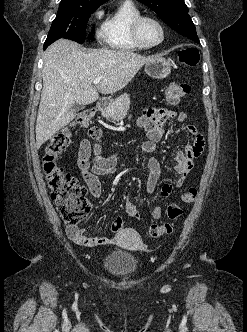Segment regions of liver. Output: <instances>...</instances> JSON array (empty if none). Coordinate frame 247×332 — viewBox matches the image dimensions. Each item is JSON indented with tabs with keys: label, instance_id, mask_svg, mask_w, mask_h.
<instances>
[{
	"label": "liver",
	"instance_id": "1",
	"mask_svg": "<svg viewBox=\"0 0 247 332\" xmlns=\"http://www.w3.org/2000/svg\"><path fill=\"white\" fill-rule=\"evenodd\" d=\"M153 58L106 48L83 52L80 45L66 39L50 45L43 57L37 148L75 118L74 104H91L99 98V92L112 94L123 89ZM96 78L101 81L94 86Z\"/></svg>",
	"mask_w": 247,
	"mask_h": 332
}]
</instances>
